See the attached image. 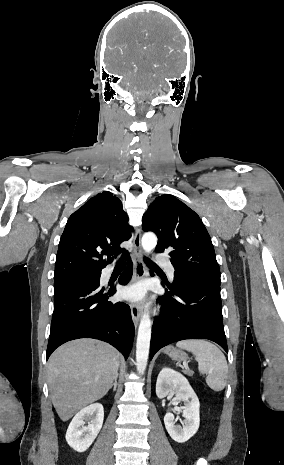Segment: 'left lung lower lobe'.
<instances>
[{"mask_svg": "<svg viewBox=\"0 0 284 465\" xmlns=\"http://www.w3.org/2000/svg\"><path fill=\"white\" fill-rule=\"evenodd\" d=\"M165 284L170 292L158 298L163 313L153 323L150 359L160 348L185 339H208L228 353L220 285L182 275Z\"/></svg>", "mask_w": 284, "mask_h": 465, "instance_id": "obj_1", "label": "left lung lower lobe"}]
</instances>
